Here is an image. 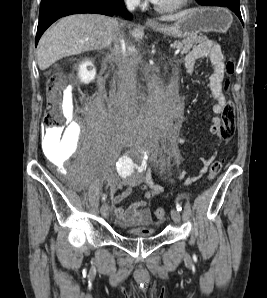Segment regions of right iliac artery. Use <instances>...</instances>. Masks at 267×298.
<instances>
[{
	"label": "right iliac artery",
	"mask_w": 267,
	"mask_h": 298,
	"mask_svg": "<svg viewBox=\"0 0 267 298\" xmlns=\"http://www.w3.org/2000/svg\"><path fill=\"white\" fill-rule=\"evenodd\" d=\"M122 159H123L124 161H128V158L125 157V156H124ZM106 197H107L106 194H103V195H102V201H105V200H106Z\"/></svg>",
	"instance_id": "right-iliac-artery-1"
}]
</instances>
